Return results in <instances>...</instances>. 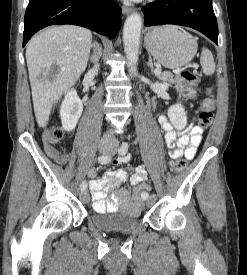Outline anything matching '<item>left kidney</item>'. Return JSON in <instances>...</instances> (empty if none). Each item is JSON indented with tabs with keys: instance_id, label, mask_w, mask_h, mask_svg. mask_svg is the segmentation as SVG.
<instances>
[{
	"instance_id": "left-kidney-1",
	"label": "left kidney",
	"mask_w": 247,
	"mask_h": 275,
	"mask_svg": "<svg viewBox=\"0 0 247 275\" xmlns=\"http://www.w3.org/2000/svg\"><path fill=\"white\" fill-rule=\"evenodd\" d=\"M168 117L177 130H183L187 125V115L181 103H176L168 109Z\"/></svg>"
}]
</instances>
